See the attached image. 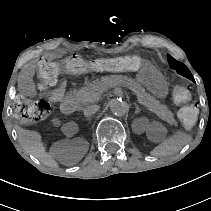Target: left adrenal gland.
Segmentation results:
<instances>
[{
  "label": "left adrenal gland",
  "instance_id": "obj_1",
  "mask_svg": "<svg viewBox=\"0 0 211 211\" xmlns=\"http://www.w3.org/2000/svg\"><path fill=\"white\" fill-rule=\"evenodd\" d=\"M135 105V113H139L141 111V109L139 108L138 104L134 103Z\"/></svg>",
  "mask_w": 211,
  "mask_h": 211
}]
</instances>
